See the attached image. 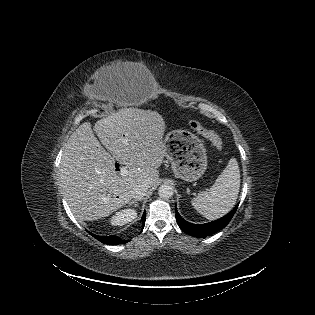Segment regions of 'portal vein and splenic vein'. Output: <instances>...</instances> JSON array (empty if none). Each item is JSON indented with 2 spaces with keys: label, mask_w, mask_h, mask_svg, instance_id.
<instances>
[{
  "label": "portal vein and splenic vein",
  "mask_w": 315,
  "mask_h": 315,
  "mask_svg": "<svg viewBox=\"0 0 315 315\" xmlns=\"http://www.w3.org/2000/svg\"><path fill=\"white\" fill-rule=\"evenodd\" d=\"M129 174V170L126 166H122L120 169V175L126 177Z\"/></svg>",
  "instance_id": "portal-vein-and-splenic-vein-1"
}]
</instances>
